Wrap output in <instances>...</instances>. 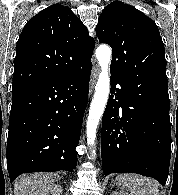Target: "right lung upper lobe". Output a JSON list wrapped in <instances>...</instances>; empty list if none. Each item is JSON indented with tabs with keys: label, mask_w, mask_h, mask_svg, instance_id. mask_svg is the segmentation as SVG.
Listing matches in <instances>:
<instances>
[{
	"label": "right lung upper lobe",
	"mask_w": 178,
	"mask_h": 195,
	"mask_svg": "<svg viewBox=\"0 0 178 195\" xmlns=\"http://www.w3.org/2000/svg\"><path fill=\"white\" fill-rule=\"evenodd\" d=\"M95 41L70 8L54 4L24 26L14 61L13 87L70 76L88 64Z\"/></svg>",
	"instance_id": "1"
}]
</instances>
